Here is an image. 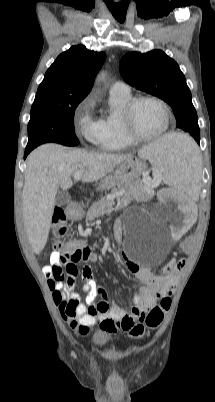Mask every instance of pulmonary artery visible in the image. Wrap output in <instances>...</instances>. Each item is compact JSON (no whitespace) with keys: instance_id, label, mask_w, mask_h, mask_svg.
<instances>
[{"instance_id":"obj_1","label":"pulmonary artery","mask_w":215,"mask_h":402,"mask_svg":"<svg viewBox=\"0 0 215 402\" xmlns=\"http://www.w3.org/2000/svg\"><path fill=\"white\" fill-rule=\"evenodd\" d=\"M110 92L111 93H129L130 88L126 83H124L122 81H117L112 84V86L110 88Z\"/></svg>"}]
</instances>
